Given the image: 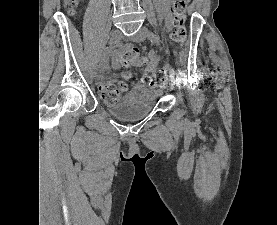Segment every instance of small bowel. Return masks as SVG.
<instances>
[{
	"label": "small bowel",
	"instance_id": "small-bowel-1",
	"mask_svg": "<svg viewBox=\"0 0 277 225\" xmlns=\"http://www.w3.org/2000/svg\"><path fill=\"white\" fill-rule=\"evenodd\" d=\"M154 2H155V5H156V8H157V11H158L159 15L165 17L167 25L170 26V19H171L170 4H171V0H154ZM149 57H150V63L148 65L147 69L149 71H152L157 67V65L160 61V57L157 54H155L154 52H151L149 54ZM120 66L121 65L118 63L117 60H115L113 62V68L119 69ZM108 69H109L108 65L106 63H102L99 67V73H98L99 78L110 80V75H109ZM123 77H124V74H123ZM141 87H142L141 84L135 85V88H141Z\"/></svg>",
	"mask_w": 277,
	"mask_h": 225
}]
</instances>
